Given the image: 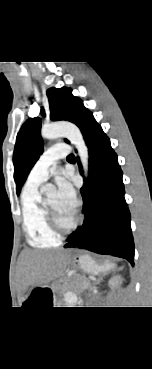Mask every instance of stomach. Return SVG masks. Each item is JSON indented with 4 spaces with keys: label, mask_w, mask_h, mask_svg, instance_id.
I'll use <instances>...</instances> for the list:
<instances>
[{
    "label": "stomach",
    "mask_w": 152,
    "mask_h": 369,
    "mask_svg": "<svg viewBox=\"0 0 152 369\" xmlns=\"http://www.w3.org/2000/svg\"><path fill=\"white\" fill-rule=\"evenodd\" d=\"M77 262L81 269H83L85 272L90 273V274H99L100 272L107 271L114 266V264L108 261H105L103 264H98L89 255L79 256ZM43 287L44 286L40 284H35L32 287L31 292L37 288H43Z\"/></svg>",
    "instance_id": "obj_1"
}]
</instances>
